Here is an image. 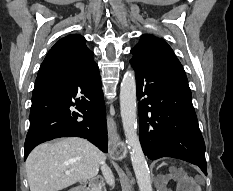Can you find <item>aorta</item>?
Instances as JSON below:
<instances>
[{
    "mask_svg": "<svg viewBox=\"0 0 233 191\" xmlns=\"http://www.w3.org/2000/svg\"><path fill=\"white\" fill-rule=\"evenodd\" d=\"M136 81L133 71H127L120 87V112L126 145L130 150L133 169L140 191H152L150 171L137 135Z\"/></svg>",
    "mask_w": 233,
    "mask_h": 191,
    "instance_id": "762f6f07",
    "label": "aorta"
}]
</instances>
